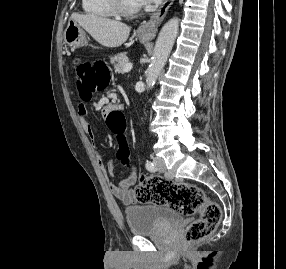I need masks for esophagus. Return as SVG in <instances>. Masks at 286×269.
<instances>
[{
  "label": "esophagus",
  "mask_w": 286,
  "mask_h": 269,
  "mask_svg": "<svg viewBox=\"0 0 286 269\" xmlns=\"http://www.w3.org/2000/svg\"><path fill=\"white\" fill-rule=\"evenodd\" d=\"M173 2L174 0H165L158 10L151 15L150 19L138 27V32L145 39H153L156 36L158 27L163 22Z\"/></svg>",
  "instance_id": "1"
}]
</instances>
